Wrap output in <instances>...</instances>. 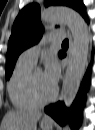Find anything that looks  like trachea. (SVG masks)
Here are the masks:
<instances>
[{"label":"trachea","instance_id":"1","mask_svg":"<svg viewBox=\"0 0 95 130\" xmlns=\"http://www.w3.org/2000/svg\"><path fill=\"white\" fill-rule=\"evenodd\" d=\"M62 46L63 47H68L69 46V41L67 39H65L63 42H62Z\"/></svg>","mask_w":95,"mask_h":130}]
</instances>
